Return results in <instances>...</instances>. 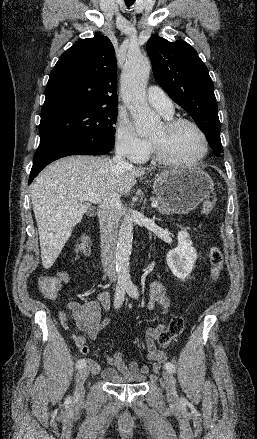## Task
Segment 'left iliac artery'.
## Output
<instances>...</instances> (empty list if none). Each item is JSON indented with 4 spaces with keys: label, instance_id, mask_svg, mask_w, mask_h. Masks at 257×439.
I'll use <instances>...</instances> for the list:
<instances>
[{
    "label": "left iliac artery",
    "instance_id": "1",
    "mask_svg": "<svg viewBox=\"0 0 257 439\" xmlns=\"http://www.w3.org/2000/svg\"><path fill=\"white\" fill-rule=\"evenodd\" d=\"M125 287H126V291H127V293H128L131 297H133V298H138V296H139V292H138V289H137L136 285H134V283H132V282H127L126 285H125ZM164 367H165V369H166L167 371H169V372H171V373H174L175 370H176V367H175L174 363H172V362H167V363L164 365Z\"/></svg>",
    "mask_w": 257,
    "mask_h": 439
}]
</instances>
